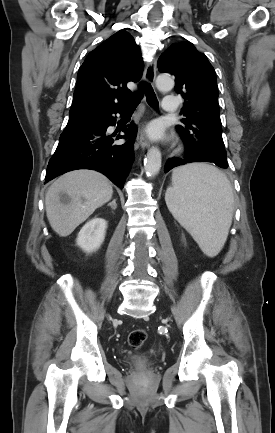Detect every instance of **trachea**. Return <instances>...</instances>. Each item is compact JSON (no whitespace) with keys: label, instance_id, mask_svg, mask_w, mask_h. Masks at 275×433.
<instances>
[{"label":"trachea","instance_id":"1","mask_svg":"<svg viewBox=\"0 0 275 433\" xmlns=\"http://www.w3.org/2000/svg\"><path fill=\"white\" fill-rule=\"evenodd\" d=\"M140 90L136 92L131 100V102L126 107V111H134L138 106L140 100L142 99L144 93H146V100L148 105L157 109L158 108V100L153 91V88L150 84L142 82L139 86Z\"/></svg>","mask_w":275,"mask_h":433}]
</instances>
